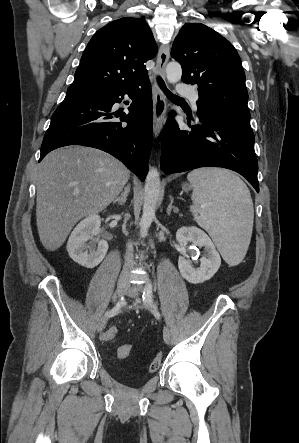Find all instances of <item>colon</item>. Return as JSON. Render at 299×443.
Here are the masks:
<instances>
[{"label": "colon", "instance_id": "obj_1", "mask_svg": "<svg viewBox=\"0 0 299 443\" xmlns=\"http://www.w3.org/2000/svg\"><path fill=\"white\" fill-rule=\"evenodd\" d=\"M117 333L118 329L115 326L109 327L102 334V340L110 341L116 337ZM131 354H132V346L129 344L123 345L118 349V357L121 360L127 359L128 357H130ZM161 362H162L161 354H156L152 358L149 364V371L150 372L157 371L161 366Z\"/></svg>", "mask_w": 299, "mask_h": 443}]
</instances>
